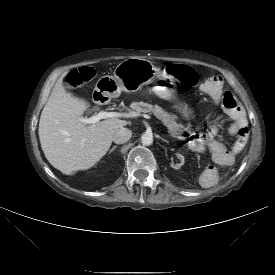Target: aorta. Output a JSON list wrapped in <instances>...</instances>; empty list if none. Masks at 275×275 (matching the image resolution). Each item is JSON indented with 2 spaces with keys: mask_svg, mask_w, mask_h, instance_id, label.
I'll return each mask as SVG.
<instances>
[{
  "mask_svg": "<svg viewBox=\"0 0 275 275\" xmlns=\"http://www.w3.org/2000/svg\"><path fill=\"white\" fill-rule=\"evenodd\" d=\"M141 142L145 146L151 145L153 143V136H152V134H150V133H144L141 136Z\"/></svg>",
  "mask_w": 275,
  "mask_h": 275,
  "instance_id": "obj_1",
  "label": "aorta"
}]
</instances>
